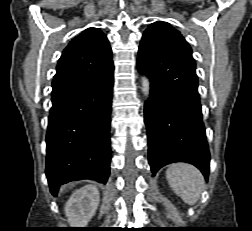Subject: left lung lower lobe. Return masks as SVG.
I'll return each instance as SVG.
<instances>
[{
  "mask_svg": "<svg viewBox=\"0 0 252 231\" xmlns=\"http://www.w3.org/2000/svg\"><path fill=\"white\" fill-rule=\"evenodd\" d=\"M137 67L151 82L144 120L152 173L170 163L187 162L208 180L210 154L192 55L172 47L142 45Z\"/></svg>",
  "mask_w": 252,
  "mask_h": 231,
  "instance_id": "0a47b994",
  "label": "left lung lower lobe"
}]
</instances>
